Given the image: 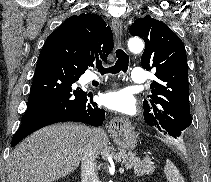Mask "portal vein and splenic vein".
I'll list each match as a JSON object with an SVG mask.
<instances>
[{"label": "portal vein and splenic vein", "mask_w": 211, "mask_h": 182, "mask_svg": "<svg viewBox=\"0 0 211 182\" xmlns=\"http://www.w3.org/2000/svg\"><path fill=\"white\" fill-rule=\"evenodd\" d=\"M119 172H120V173H124V168H122V167L119 168Z\"/></svg>", "instance_id": "obj_1"}]
</instances>
